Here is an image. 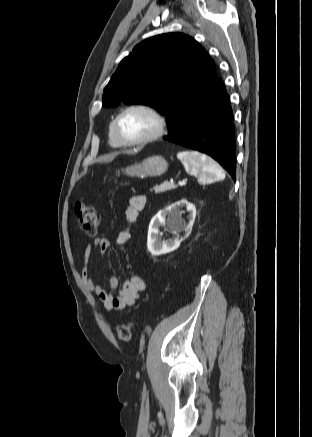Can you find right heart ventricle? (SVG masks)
Segmentation results:
<instances>
[{
	"instance_id": "1",
	"label": "right heart ventricle",
	"mask_w": 312,
	"mask_h": 437,
	"mask_svg": "<svg viewBox=\"0 0 312 437\" xmlns=\"http://www.w3.org/2000/svg\"><path fill=\"white\" fill-rule=\"evenodd\" d=\"M108 141L109 144L114 148H120L123 146V144L118 139L115 130H114V121H112L109 125V131H108Z\"/></svg>"
}]
</instances>
